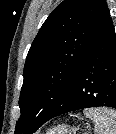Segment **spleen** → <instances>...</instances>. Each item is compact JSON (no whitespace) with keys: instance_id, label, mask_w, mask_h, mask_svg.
<instances>
[{"instance_id":"obj_1","label":"spleen","mask_w":116,"mask_h":134,"mask_svg":"<svg viewBox=\"0 0 116 134\" xmlns=\"http://www.w3.org/2000/svg\"><path fill=\"white\" fill-rule=\"evenodd\" d=\"M84 115L93 121L96 134H116V111L108 108L84 110Z\"/></svg>"}]
</instances>
